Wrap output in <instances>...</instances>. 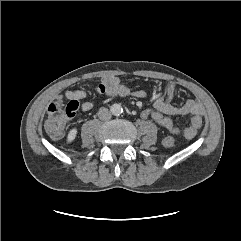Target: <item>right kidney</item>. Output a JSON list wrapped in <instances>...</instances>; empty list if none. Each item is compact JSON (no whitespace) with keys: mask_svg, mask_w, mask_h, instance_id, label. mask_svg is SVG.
I'll return each mask as SVG.
<instances>
[{"mask_svg":"<svg viewBox=\"0 0 241 241\" xmlns=\"http://www.w3.org/2000/svg\"><path fill=\"white\" fill-rule=\"evenodd\" d=\"M77 135V129L73 128L69 131L68 135H67V143H71L75 140Z\"/></svg>","mask_w":241,"mask_h":241,"instance_id":"obj_1","label":"right kidney"}]
</instances>
